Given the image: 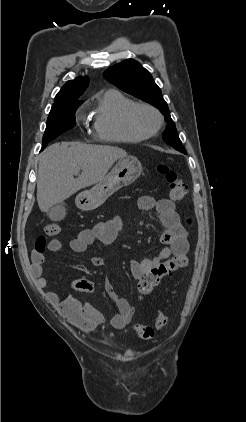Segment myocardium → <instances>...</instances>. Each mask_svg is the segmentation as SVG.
I'll return each instance as SVG.
<instances>
[{
	"instance_id": "obj_1",
	"label": "myocardium",
	"mask_w": 246,
	"mask_h": 422,
	"mask_svg": "<svg viewBox=\"0 0 246 422\" xmlns=\"http://www.w3.org/2000/svg\"><path fill=\"white\" fill-rule=\"evenodd\" d=\"M142 110L152 112L157 118V125L153 130H146L140 123L139 114ZM127 121L131 129L144 138L155 136L162 128L164 119L161 112L147 103H136L127 113Z\"/></svg>"
}]
</instances>
